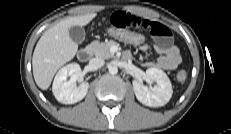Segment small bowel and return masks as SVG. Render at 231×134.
<instances>
[{
	"label": "small bowel",
	"instance_id": "obj_1",
	"mask_svg": "<svg viewBox=\"0 0 231 134\" xmlns=\"http://www.w3.org/2000/svg\"><path fill=\"white\" fill-rule=\"evenodd\" d=\"M109 24L113 28L127 29L132 31L148 32L154 39V49L159 54L156 61L145 62L143 65L147 68H159L163 70H174L181 62L180 51L172 43L171 32L164 24L140 16L125 12L116 11L109 19ZM142 51H147L149 45L141 46ZM126 58L131 57V53L125 54Z\"/></svg>",
	"mask_w": 231,
	"mask_h": 134
}]
</instances>
